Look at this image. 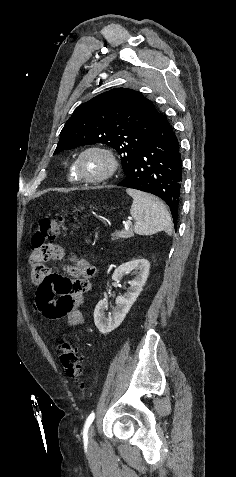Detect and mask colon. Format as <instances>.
I'll return each mask as SVG.
<instances>
[{"mask_svg":"<svg viewBox=\"0 0 236 477\" xmlns=\"http://www.w3.org/2000/svg\"><path fill=\"white\" fill-rule=\"evenodd\" d=\"M67 229L66 221L63 217L57 219L44 218L39 222L31 241V272L32 278L38 279L42 276L43 263L56 252L51 246V241ZM88 269V265L83 266V271ZM60 362L66 375L75 381L81 389H85L83 377V356L78 349L73 347L67 339L61 340Z\"/></svg>","mask_w":236,"mask_h":477,"instance_id":"colon-1","label":"colon"}]
</instances>
